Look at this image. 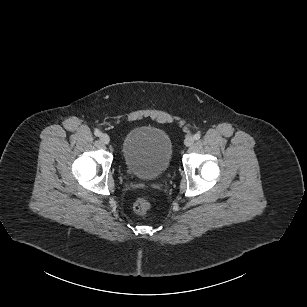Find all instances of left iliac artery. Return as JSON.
Masks as SVG:
<instances>
[{"mask_svg":"<svg viewBox=\"0 0 307 307\" xmlns=\"http://www.w3.org/2000/svg\"><path fill=\"white\" fill-rule=\"evenodd\" d=\"M200 137H201L200 133H196V134L194 135V139H195V140L200 139Z\"/></svg>","mask_w":307,"mask_h":307,"instance_id":"1","label":"left iliac artery"}]
</instances>
